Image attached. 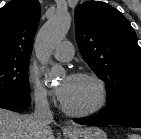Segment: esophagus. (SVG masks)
I'll use <instances>...</instances> for the list:
<instances>
[{
    "instance_id": "34e87169",
    "label": "esophagus",
    "mask_w": 141,
    "mask_h": 139,
    "mask_svg": "<svg viewBox=\"0 0 141 139\" xmlns=\"http://www.w3.org/2000/svg\"><path fill=\"white\" fill-rule=\"evenodd\" d=\"M66 128H67V129H71V126H70V125H67Z\"/></svg>"
}]
</instances>
